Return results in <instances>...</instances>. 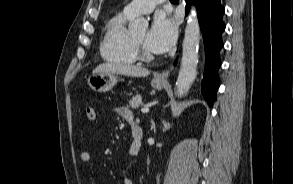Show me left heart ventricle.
I'll return each instance as SVG.
<instances>
[{
	"mask_svg": "<svg viewBox=\"0 0 293 184\" xmlns=\"http://www.w3.org/2000/svg\"><path fill=\"white\" fill-rule=\"evenodd\" d=\"M146 36H147V33L146 31H143L137 35L134 36V38L136 39V41H138L141 46L144 48V50L148 53H151L152 52L148 49V47L146 46Z\"/></svg>",
	"mask_w": 293,
	"mask_h": 184,
	"instance_id": "b2bd125f",
	"label": "left heart ventricle"
}]
</instances>
